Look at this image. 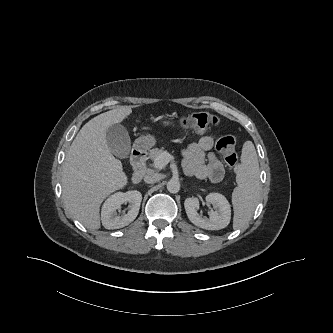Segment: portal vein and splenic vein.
I'll list each match as a JSON object with an SVG mask.
<instances>
[{
  "mask_svg": "<svg viewBox=\"0 0 333 333\" xmlns=\"http://www.w3.org/2000/svg\"><path fill=\"white\" fill-rule=\"evenodd\" d=\"M173 159V156L170 155L168 152H163L155 159L154 167L157 169H162Z\"/></svg>",
  "mask_w": 333,
  "mask_h": 333,
  "instance_id": "obj_1",
  "label": "portal vein and splenic vein"
}]
</instances>
